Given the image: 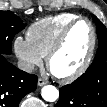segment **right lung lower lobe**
Segmentation results:
<instances>
[{"label":"right lung lower lobe","mask_w":107,"mask_h":107,"mask_svg":"<svg viewBox=\"0 0 107 107\" xmlns=\"http://www.w3.org/2000/svg\"><path fill=\"white\" fill-rule=\"evenodd\" d=\"M37 76L19 70L0 55V107H18L37 86Z\"/></svg>","instance_id":"obj_1"}]
</instances>
